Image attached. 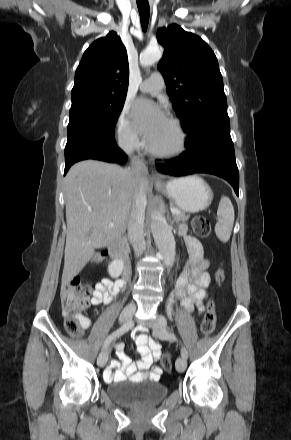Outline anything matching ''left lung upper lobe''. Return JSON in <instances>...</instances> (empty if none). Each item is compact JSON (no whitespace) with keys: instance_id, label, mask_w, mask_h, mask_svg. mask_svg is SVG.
I'll return each mask as SVG.
<instances>
[{"instance_id":"left-lung-upper-lobe-1","label":"left lung upper lobe","mask_w":291,"mask_h":440,"mask_svg":"<svg viewBox=\"0 0 291 440\" xmlns=\"http://www.w3.org/2000/svg\"><path fill=\"white\" fill-rule=\"evenodd\" d=\"M157 39L165 49L158 69L188 139L211 125L229 123L222 75L208 44L176 24L160 28Z\"/></svg>"}]
</instances>
